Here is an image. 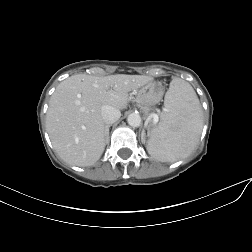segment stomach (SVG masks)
<instances>
[{
  "instance_id": "1",
  "label": "stomach",
  "mask_w": 252,
  "mask_h": 252,
  "mask_svg": "<svg viewBox=\"0 0 252 252\" xmlns=\"http://www.w3.org/2000/svg\"><path fill=\"white\" fill-rule=\"evenodd\" d=\"M163 93V86L152 81L137 91L136 100L143 112L147 114L162 99Z\"/></svg>"
}]
</instances>
